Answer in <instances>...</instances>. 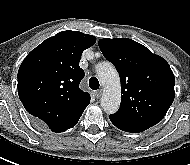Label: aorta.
I'll return each instance as SVG.
<instances>
[{
	"label": "aorta",
	"mask_w": 190,
	"mask_h": 165,
	"mask_svg": "<svg viewBox=\"0 0 190 165\" xmlns=\"http://www.w3.org/2000/svg\"><path fill=\"white\" fill-rule=\"evenodd\" d=\"M98 77L104 87L101 97V107L108 113H115L120 106V78L114 66L109 62L97 66Z\"/></svg>",
	"instance_id": "obj_1"
}]
</instances>
